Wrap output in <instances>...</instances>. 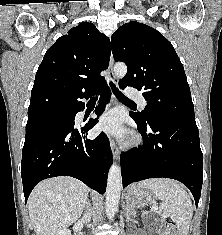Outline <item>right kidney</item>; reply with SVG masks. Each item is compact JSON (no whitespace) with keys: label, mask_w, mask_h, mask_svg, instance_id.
<instances>
[{"label":"right kidney","mask_w":222,"mask_h":235,"mask_svg":"<svg viewBox=\"0 0 222 235\" xmlns=\"http://www.w3.org/2000/svg\"><path fill=\"white\" fill-rule=\"evenodd\" d=\"M57 235H71V232L69 229L65 228V229L61 230L60 232H58Z\"/></svg>","instance_id":"1"}]
</instances>
